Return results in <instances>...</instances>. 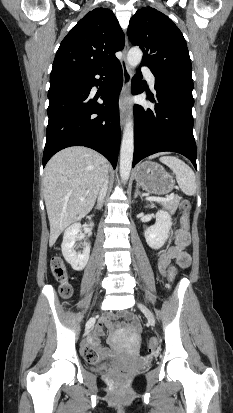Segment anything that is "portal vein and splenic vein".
<instances>
[{
    "mask_svg": "<svg viewBox=\"0 0 233 413\" xmlns=\"http://www.w3.org/2000/svg\"><path fill=\"white\" fill-rule=\"evenodd\" d=\"M174 198V194L171 193L170 195H168L165 198H161V197H148V200H152V201H158V202H167L170 201Z\"/></svg>",
    "mask_w": 233,
    "mask_h": 413,
    "instance_id": "18ae733b",
    "label": "portal vein and splenic vein"
}]
</instances>
